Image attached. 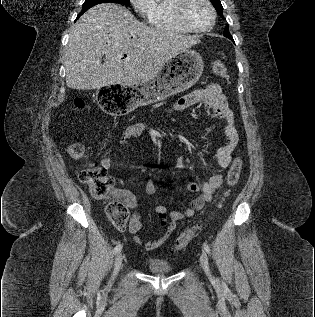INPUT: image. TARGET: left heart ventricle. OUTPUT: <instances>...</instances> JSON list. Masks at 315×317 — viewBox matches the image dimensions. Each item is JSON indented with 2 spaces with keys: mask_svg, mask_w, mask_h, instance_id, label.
<instances>
[{
  "mask_svg": "<svg viewBox=\"0 0 315 317\" xmlns=\"http://www.w3.org/2000/svg\"><path fill=\"white\" fill-rule=\"evenodd\" d=\"M186 19L194 28H205L210 24L211 14L203 0H191L186 8Z\"/></svg>",
  "mask_w": 315,
  "mask_h": 317,
  "instance_id": "obj_1",
  "label": "left heart ventricle"
}]
</instances>
